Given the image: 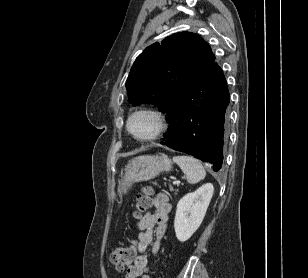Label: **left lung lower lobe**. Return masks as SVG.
Returning a JSON list of instances; mask_svg holds the SVG:
<instances>
[{
    "mask_svg": "<svg viewBox=\"0 0 308 278\" xmlns=\"http://www.w3.org/2000/svg\"><path fill=\"white\" fill-rule=\"evenodd\" d=\"M229 100L222 69L214 63L190 82L168 108L170 126L162 144L213 164L214 171L220 170Z\"/></svg>",
    "mask_w": 308,
    "mask_h": 278,
    "instance_id": "0a47b994",
    "label": "left lung lower lobe"
}]
</instances>
